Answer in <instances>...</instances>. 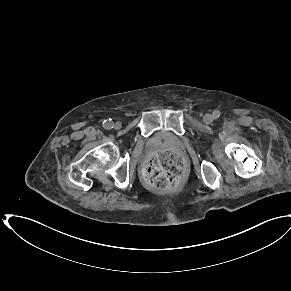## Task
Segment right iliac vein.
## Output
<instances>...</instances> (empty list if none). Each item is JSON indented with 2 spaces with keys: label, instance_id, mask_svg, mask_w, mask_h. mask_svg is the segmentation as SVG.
I'll use <instances>...</instances> for the list:
<instances>
[{
  "label": "right iliac vein",
  "instance_id": "63e3f726",
  "mask_svg": "<svg viewBox=\"0 0 291 291\" xmlns=\"http://www.w3.org/2000/svg\"><path fill=\"white\" fill-rule=\"evenodd\" d=\"M114 128L116 129V130H119L120 128H121V126H122V124L120 123V122H116V123H114Z\"/></svg>",
  "mask_w": 291,
  "mask_h": 291
}]
</instances>
